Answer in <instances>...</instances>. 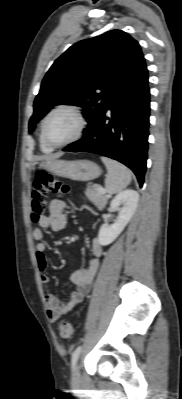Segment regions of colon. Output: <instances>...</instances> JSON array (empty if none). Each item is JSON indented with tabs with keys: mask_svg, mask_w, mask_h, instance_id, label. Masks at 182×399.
Instances as JSON below:
<instances>
[{
	"mask_svg": "<svg viewBox=\"0 0 182 399\" xmlns=\"http://www.w3.org/2000/svg\"><path fill=\"white\" fill-rule=\"evenodd\" d=\"M49 192L65 197L69 195L70 189L65 182L53 175L45 171H38L31 191L32 220L34 222H38L45 216ZM58 332L63 339H70L73 336V326L69 321L62 320L58 324Z\"/></svg>",
	"mask_w": 182,
	"mask_h": 399,
	"instance_id": "colon-1",
	"label": "colon"
}]
</instances>
